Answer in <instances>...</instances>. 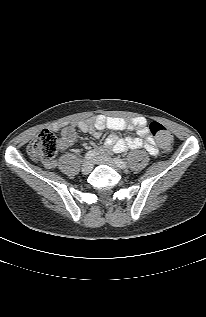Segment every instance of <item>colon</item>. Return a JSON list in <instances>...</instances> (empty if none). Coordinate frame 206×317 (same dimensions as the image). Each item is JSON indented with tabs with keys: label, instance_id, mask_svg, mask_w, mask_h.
<instances>
[{
	"label": "colon",
	"instance_id": "1",
	"mask_svg": "<svg viewBox=\"0 0 206 317\" xmlns=\"http://www.w3.org/2000/svg\"><path fill=\"white\" fill-rule=\"evenodd\" d=\"M149 130L162 148H171L173 137L164 125L153 121L149 124ZM71 134L72 132L69 129H65L62 136L68 137ZM57 148V137L51 131L44 129L30 142L28 153L34 160L48 162L55 156Z\"/></svg>",
	"mask_w": 206,
	"mask_h": 317
}]
</instances>
